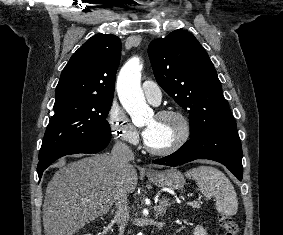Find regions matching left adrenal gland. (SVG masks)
<instances>
[{
    "label": "left adrenal gland",
    "mask_w": 283,
    "mask_h": 235,
    "mask_svg": "<svg viewBox=\"0 0 283 235\" xmlns=\"http://www.w3.org/2000/svg\"><path fill=\"white\" fill-rule=\"evenodd\" d=\"M170 205H171V203L169 202L168 198H166V197L162 198L159 201V204L156 206L157 214L160 215V216H164L168 206H170Z\"/></svg>",
    "instance_id": "a2214340"
}]
</instances>
